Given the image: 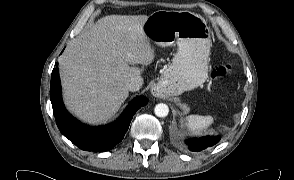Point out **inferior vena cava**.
I'll return each instance as SVG.
<instances>
[{"mask_svg":"<svg viewBox=\"0 0 294 180\" xmlns=\"http://www.w3.org/2000/svg\"><path fill=\"white\" fill-rule=\"evenodd\" d=\"M143 85V78L141 76L132 77L126 84L129 91H138Z\"/></svg>","mask_w":294,"mask_h":180,"instance_id":"1","label":"inferior vena cava"}]
</instances>
